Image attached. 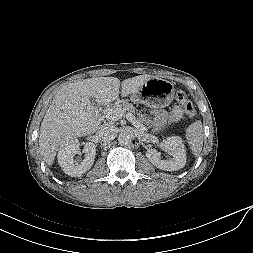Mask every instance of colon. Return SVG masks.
<instances>
[{"mask_svg":"<svg viewBox=\"0 0 253 253\" xmlns=\"http://www.w3.org/2000/svg\"><path fill=\"white\" fill-rule=\"evenodd\" d=\"M176 100L182 106V109L187 116H195L196 111L194 109V106L184 91L178 90L176 92Z\"/></svg>","mask_w":253,"mask_h":253,"instance_id":"obj_1","label":"colon"}]
</instances>
